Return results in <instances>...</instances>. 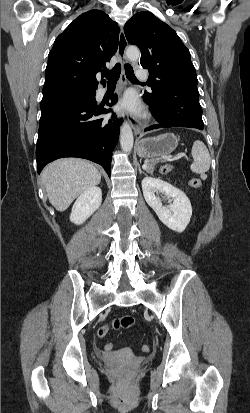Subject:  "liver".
Instances as JSON below:
<instances>
[{"mask_svg": "<svg viewBox=\"0 0 250 413\" xmlns=\"http://www.w3.org/2000/svg\"><path fill=\"white\" fill-rule=\"evenodd\" d=\"M50 203L65 211L82 192L98 185L101 173L96 166L79 158H63L48 164L41 173Z\"/></svg>", "mask_w": 250, "mask_h": 413, "instance_id": "1", "label": "liver"}]
</instances>
